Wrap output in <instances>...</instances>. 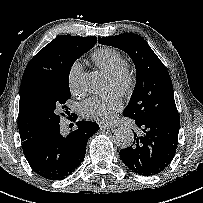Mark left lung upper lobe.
<instances>
[{
  "label": "left lung upper lobe",
  "mask_w": 203,
  "mask_h": 203,
  "mask_svg": "<svg viewBox=\"0 0 203 203\" xmlns=\"http://www.w3.org/2000/svg\"><path fill=\"white\" fill-rule=\"evenodd\" d=\"M98 42L126 52L136 67L137 79L125 117L133 120H180L170 75L147 42L138 34L98 37Z\"/></svg>",
  "instance_id": "obj_1"
}]
</instances>
